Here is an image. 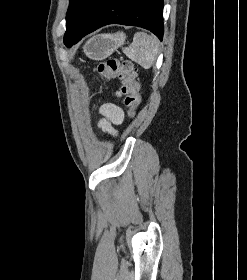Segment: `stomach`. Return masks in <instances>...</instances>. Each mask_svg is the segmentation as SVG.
<instances>
[{"label":"stomach","mask_w":247,"mask_h":280,"mask_svg":"<svg viewBox=\"0 0 247 280\" xmlns=\"http://www.w3.org/2000/svg\"><path fill=\"white\" fill-rule=\"evenodd\" d=\"M123 32L98 34L90 38L83 47L84 53L93 60H103L125 42Z\"/></svg>","instance_id":"obj_1"}]
</instances>
